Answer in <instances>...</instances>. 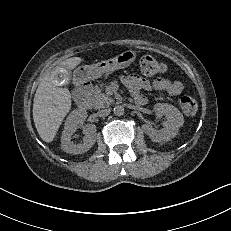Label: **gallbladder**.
Returning a JSON list of instances; mask_svg holds the SVG:
<instances>
[{"label":"gallbladder","mask_w":231,"mask_h":231,"mask_svg":"<svg viewBox=\"0 0 231 231\" xmlns=\"http://www.w3.org/2000/svg\"><path fill=\"white\" fill-rule=\"evenodd\" d=\"M71 80V72L63 66H56L51 71V81L56 86H64Z\"/></svg>","instance_id":"1"}]
</instances>
